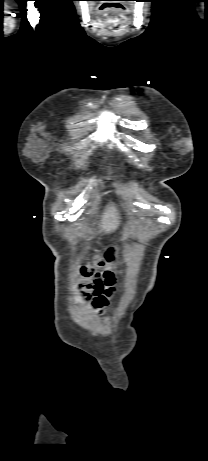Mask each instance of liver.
Instances as JSON below:
<instances>
[{
    "instance_id": "obj_1",
    "label": "liver",
    "mask_w": 208,
    "mask_h": 461,
    "mask_svg": "<svg viewBox=\"0 0 208 461\" xmlns=\"http://www.w3.org/2000/svg\"><path fill=\"white\" fill-rule=\"evenodd\" d=\"M119 226V217L115 207H107L105 210L102 220L101 228L103 231L110 233L115 231Z\"/></svg>"
}]
</instances>
